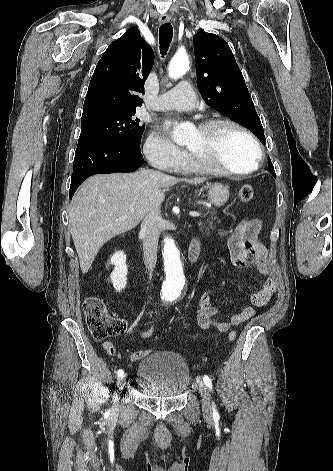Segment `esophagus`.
Returning <instances> with one entry per match:
<instances>
[{
  "instance_id": "1",
  "label": "esophagus",
  "mask_w": 333,
  "mask_h": 471,
  "mask_svg": "<svg viewBox=\"0 0 333 471\" xmlns=\"http://www.w3.org/2000/svg\"><path fill=\"white\" fill-rule=\"evenodd\" d=\"M170 20H171V18H170V16H168V15H161V16L159 17V22H160L161 24L169 23Z\"/></svg>"
}]
</instances>
